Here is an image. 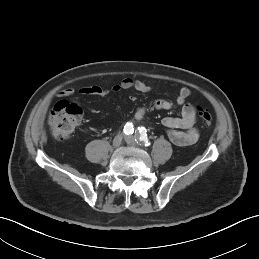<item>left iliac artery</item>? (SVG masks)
Instances as JSON below:
<instances>
[{
  "label": "left iliac artery",
  "instance_id": "obj_1",
  "mask_svg": "<svg viewBox=\"0 0 259 259\" xmlns=\"http://www.w3.org/2000/svg\"><path fill=\"white\" fill-rule=\"evenodd\" d=\"M146 129L144 127H139L138 128V132L137 134L135 135V138H136V142L139 143V145H145V146H149L150 145V141L147 137V134H146Z\"/></svg>",
  "mask_w": 259,
  "mask_h": 259
}]
</instances>
